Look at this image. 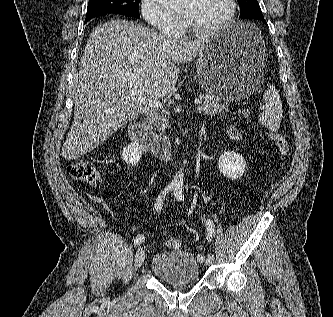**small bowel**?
<instances>
[{
    "label": "small bowel",
    "instance_id": "c3829d8e",
    "mask_svg": "<svg viewBox=\"0 0 333 317\" xmlns=\"http://www.w3.org/2000/svg\"><path fill=\"white\" fill-rule=\"evenodd\" d=\"M229 135L234 140H238L239 139V133L235 129H233V128L229 129ZM110 180L112 181L111 178H110ZM93 200L96 201V202H98V203L104 204V202L100 198L93 197ZM118 207H120V204H118Z\"/></svg>",
    "mask_w": 333,
    "mask_h": 317
}]
</instances>
